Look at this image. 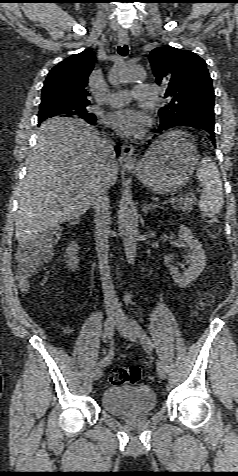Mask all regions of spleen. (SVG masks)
<instances>
[{
  "mask_svg": "<svg viewBox=\"0 0 238 476\" xmlns=\"http://www.w3.org/2000/svg\"><path fill=\"white\" fill-rule=\"evenodd\" d=\"M197 178L203 186L199 209L209 216L219 214L224 204L222 182L216 164L209 157L202 158L197 169Z\"/></svg>",
  "mask_w": 238,
  "mask_h": 476,
  "instance_id": "spleen-1",
  "label": "spleen"
}]
</instances>
